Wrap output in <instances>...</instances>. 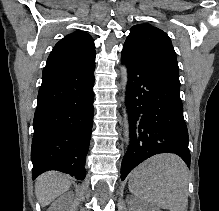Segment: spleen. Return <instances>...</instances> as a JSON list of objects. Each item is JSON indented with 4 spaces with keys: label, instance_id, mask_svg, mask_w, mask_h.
<instances>
[{
    "label": "spleen",
    "instance_id": "3e777b00",
    "mask_svg": "<svg viewBox=\"0 0 219 211\" xmlns=\"http://www.w3.org/2000/svg\"><path fill=\"white\" fill-rule=\"evenodd\" d=\"M187 185L188 167L175 153L153 155L129 173V191L137 199L170 211H185Z\"/></svg>",
    "mask_w": 219,
    "mask_h": 211
}]
</instances>
